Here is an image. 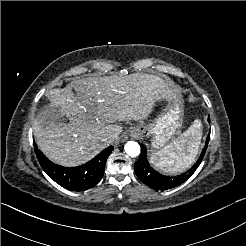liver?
Masks as SVG:
<instances>
[{"instance_id": "obj_1", "label": "liver", "mask_w": 246, "mask_h": 246, "mask_svg": "<svg viewBox=\"0 0 246 246\" xmlns=\"http://www.w3.org/2000/svg\"><path fill=\"white\" fill-rule=\"evenodd\" d=\"M165 92L154 76L78 80L51 100L50 107L56 110L53 119H48L44 111L38 113L33 126L35 140L52 161L64 166L80 165L117 139L122 127L113 123L147 119L157 93ZM59 117L69 122H57ZM111 133L117 137L109 138Z\"/></svg>"}]
</instances>
